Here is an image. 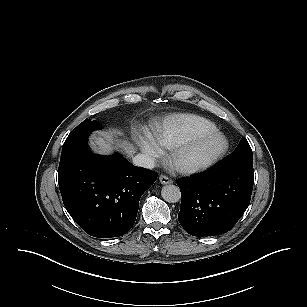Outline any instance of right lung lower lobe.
<instances>
[{"mask_svg": "<svg viewBox=\"0 0 307 307\" xmlns=\"http://www.w3.org/2000/svg\"><path fill=\"white\" fill-rule=\"evenodd\" d=\"M157 173L116 153L91 154L87 140L62 150L58 182L70 216L93 237H119L136 220L139 200Z\"/></svg>", "mask_w": 307, "mask_h": 307, "instance_id": "1", "label": "right lung lower lobe"}]
</instances>
